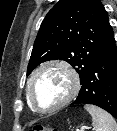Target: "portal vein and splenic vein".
Wrapping results in <instances>:
<instances>
[{"label": "portal vein and splenic vein", "instance_id": "18ae733b", "mask_svg": "<svg viewBox=\"0 0 117 131\" xmlns=\"http://www.w3.org/2000/svg\"><path fill=\"white\" fill-rule=\"evenodd\" d=\"M85 129H88V128H85V127H81V131L85 130Z\"/></svg>", "mask_w": 117, "mask_h": 131}]
</instances>
